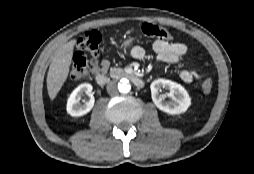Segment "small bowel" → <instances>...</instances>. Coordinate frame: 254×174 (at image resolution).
Listing matches in <instances>:
<instances>
[{
	"mask_svg": "<svg viewBox=\"0 0 254 174\" xmlns=\"http://www.w3.org/2000/svg\"><path fill=\"white\" fill-rule=\"evenodd\" d=\"M152 48L156 54V61L159 64H175L179 63L187 53V46L180 42H169L164 40H155ZM130 55L137 60H144L146 51L140 46L131 49ZM109 62L100 61L94 68V74L104 72L108 69ZM180 78L185 83H190L194 79H200L201 74L195 69H183L180 72Z\"/></svg>",
	"mask_w": 254,
	"mask_h": 174,
	"instance_id": "c3829d8e",
	"label": "small bowel"
}]
</instances>
